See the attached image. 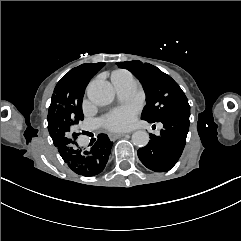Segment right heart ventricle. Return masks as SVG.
Here are the masks:
<instances>
[{
	"label": "right heart ventricle",
	"mask_w": 241,
	"mask_h": 241,
	"mask_svg": "<svg viewBox=\"0 0 241 241\" xmlns=\"http://www.w3.org/2000/svg\"><path fill=\"white\" fill-rule=\"evenodd\" d=\"M122 73H123L122 71H118V72H115L114 75L118 76V75H121Z\"/></svg>",
	"instance_id": "right-heart-ventricle-1"
}]
</instances>
